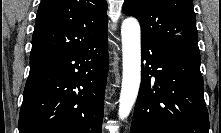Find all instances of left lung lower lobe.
<instances>
[{
	"label": "left lung lower lobe",
	"instance_id": "obj_1",
	"mask_svg": "<svg viewBox=\"0 0 221 133\" xmlns=\"http://www.w3.org/2000/svg\"><path fill=\"white\" fill-rule=\"evenodd\" d=\"M143 73L130 133H208L200 53L142 39Z\"/></svg>",
	"mask_w": 221,
	"mask_h": 133
}]
</instances>
